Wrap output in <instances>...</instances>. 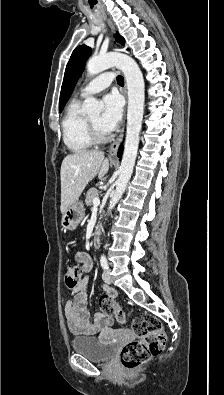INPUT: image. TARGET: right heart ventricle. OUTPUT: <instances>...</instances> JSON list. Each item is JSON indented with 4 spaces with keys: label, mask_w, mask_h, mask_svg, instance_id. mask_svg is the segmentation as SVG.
Wrapping results in <instances>:
<instances>
[{
    "label": "right heart ventricle",
    "mask_w": 224,
    "mask_h": 395,
    "mask_svg": "<svg viewBox=\"0 0 224 395\" xmlns=\"http://www.w3.org/2000/svg\"><path fill=\"white\" fill-rule=\"evenodd\" d=\"M63 140L73 152L89 149L93 142L89 135L87 117L81 112V101L74 99L67 107L62 121Z\"/></svg>",
    "instance_id": "right-heart-ventricle-1"
}]
</instances>
